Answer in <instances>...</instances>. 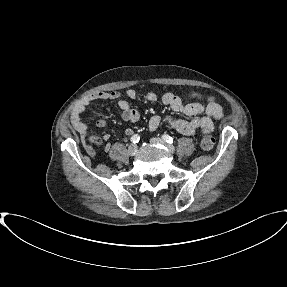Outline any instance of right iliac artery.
Listing matches in <instances>:
<instances>
[{
  "label": "right iliac artery",
  "mask_w": 287,
  "mask_h": 287,
  "mask_svg": "<svg viewBox=\"0 0 287 287\" xmlns=\"http://www.w3.org/2000/svg\"><path fill=\"white\" fill-rule=\"evenodd\" d=\"M140 140V136L138 134H134L132 137H131V142L132 143H138Z\"/></svg>",
  "instance_id": "82829eb1"
}]
</instances>
